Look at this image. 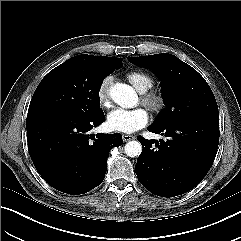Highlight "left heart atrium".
<instances>
[{
  "mask_svg": "<svg viewBox=\"0 0 241 241\" xmlns=\"http://www.w3.org/2000/svg\"><path fill=\"white\" fill-rule=\"evenodd\" d=\"M148 113L143 108L115 109L108 114L107 125L109 129L121 133H133L147 125Z\"/></svg>",
  "mask_w": 241,
  "mask_h": 241,
  "instance_id": "39dd6f15",
  "label": "left heart atrium"
}]
</instances>
